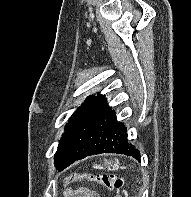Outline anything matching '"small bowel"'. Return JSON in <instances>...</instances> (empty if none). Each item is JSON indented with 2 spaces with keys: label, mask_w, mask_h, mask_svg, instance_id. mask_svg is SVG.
I'll list each match as a JSON object with an SVG mask.
<instances>
[{
  "label": "small bowel",
  "mask_w": 191,
  "mask_h": 197,
  "mask_svg": "<svg viewBox=\"0 0 191 197\" xmlns=\"http://www.w3.org/2000/svg\"><path fill=\"white\" fill-rule=\"evenodd\" d=\"M65 196L66 197H99L94 191H91L86 188H77V189L68 188L65 191Z\"/></svg>",
  "instance_id": "c3829d8e"
}]
</instances>
